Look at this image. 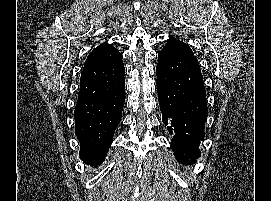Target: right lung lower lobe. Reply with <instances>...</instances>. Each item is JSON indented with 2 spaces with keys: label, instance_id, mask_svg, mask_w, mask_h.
<instances>
[{
  "label": "right lung lower lobe",
  "instance_id": "1",
  "mask_svg": "<svg viewBox=\"0 0 271 201\" xmlns=\"http://www.w3.org/2000/svg\"><path fill=\"white\" fill-rule=\"evenodd\" d=\"M125 68L122 54L105 43L87 57L74 111L80 158L99 165L112 143L124 106Z\"/></svg>",
  "mask_w": 271,
  "mask_h": 201
}]
</instances>
